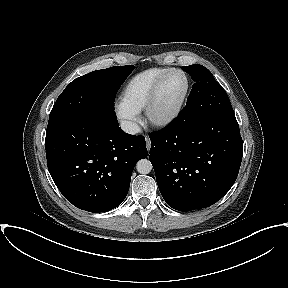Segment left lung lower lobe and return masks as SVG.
<instances>
[{
    "mask_svg": "<svg viewBox=\"0 0 288 288\" xmlns=\"http://www.w3.org/2000/svg\"><path fill=\"white\" fill-rule=\"evenodd\" d=\"M149 137L156 181L173 209L186 212L213 205L238 176L243 141L237 121L179 114Z\"/></svg>",
    "mask_w": 288,
    "mask_h": 288,
    "instance_id": "obj_1",
    "label": "left lung lower lobe"
}]
</instances>
